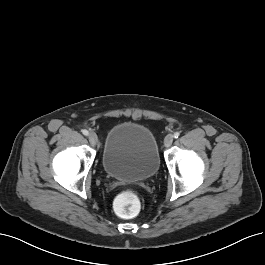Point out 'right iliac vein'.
Instances as JSON below:
<instances>
[{
	"mask_svg": "<svg viewBox=\"0 0 265 265\" xmlns=\"http://www.w3.org/2000/svg\"><path fill=\"white\" fill-rule=\"evenodd\" d=\"M88 138H89V142L91 143L92 146H95L97 144L98 138L94 132H91L89 134Z\"/></svg>",
	"mask_w": 265,
	"mask_h": 265,
	"instance_id": "63e3f726",
	"label": "right iliac vein"
}]
</instances>
